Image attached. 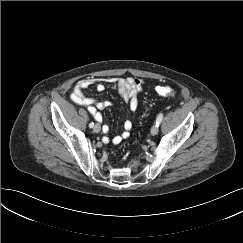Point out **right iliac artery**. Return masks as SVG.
Here are the masks:
<instances>
[{
  "mask_svg": "<svg viewBox=\"0 0 243 243\" xmlns=\"http://www.w3.org/2000/svg\"><path fill=\"white\" fill-rule=\"evenodd\" d=\"M93 126H94V123L91 122V123L89 124V127H90V128H93Z\"/></svg>",
  "mask_w": 243,
  "mask_h": 243,
  "instance_id": "1",
  "label": "right iliac artery"
}]
</instances>
